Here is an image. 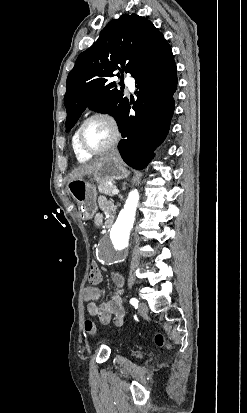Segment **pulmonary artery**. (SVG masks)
Wrapping results in <instances>:
<instances>
[{"instance_id": "obj_1", "label": "pulmonary artery", "mask_w": 247, "mask_h": 413, "mask_svg": "<svg viewBox=\"0 0 247 413\" xmlns=\"http://www.w3.org/2000/svg\"><path fill=\"white\" fill-rule=\"evenodd\" d=\"M124 82L130 89L134 88V81L129 75L124 77Z\"/></svg>"}]
</instances>
